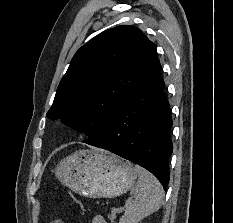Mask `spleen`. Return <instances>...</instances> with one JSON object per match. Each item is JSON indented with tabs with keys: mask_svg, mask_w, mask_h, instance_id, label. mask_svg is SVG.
Instances as JSON below:
<instances>
[{
	"mask_svg": "<svg viewBox=\"0 0 233 223\" xmlns=\"http://www.w3.org/2000/svg\"><path fill=\"white\" fill-rule=\"evenodd\" d=\"M137 173L138 181L130 191V193H136V197L127 199L126 209L124 215L120 217L119 223H139L141 219L157 211L164 199V189L150 171H146L143 167H137ZM97 223H105V221L100 217Z\"/></svg>",
	"mask_w": 233,
	"mask_h": 223,
	"instance_id": "1",
	"label": "spleen"
}]
</instances>
